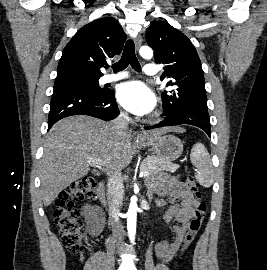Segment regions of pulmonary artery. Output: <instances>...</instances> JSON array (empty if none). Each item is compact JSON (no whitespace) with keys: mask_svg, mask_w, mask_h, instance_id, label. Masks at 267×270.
<instances>
[{"mask_svg":"<svg viewBox=\"0 0 267 270\" xmlns=\"http://www.w3.org/2000/svg\"><path fill=\"white\" fill-rule=\"evenodd\" d=\"M144 73L146 75H155L157 73V68L154 64H146L144 66ZM129 75L127 72H120V73H117V74H109V75H105L103 78H102V81L104 83H108V82H113V81H117V80H120V79H124V78H127Z\"/></svg>","mask_w":267,"mask_h":270,"instance_id":"1","label":"pulmonary artery"}]
</instances>
